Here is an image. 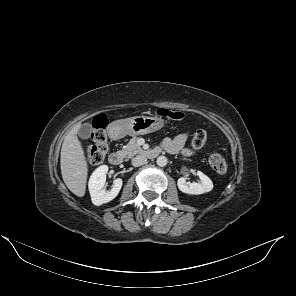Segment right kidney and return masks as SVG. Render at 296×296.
Masks as SVG:
<instances>
[{
  "label": "right kidney",
  "instance_id": "ca27d5eb",
  "mask_svg": "<svg viewBox=\"0 0 296 296\" xmlns=\"http://www.w3.org/2000/svg\"><path fill=\"white\" fill-rule=\"evenodd\" d=\"M107 172L108 166L102 165L92 173L89 179L88 187L91 200L96 206H100L113 200L118 195L122 187V179L117 178L113 182L112 189L110 191H105L103 187L106 183Z\"/></svg>",
  "mask_w": 296,
  "mask_h": 296
}]
</instances>
